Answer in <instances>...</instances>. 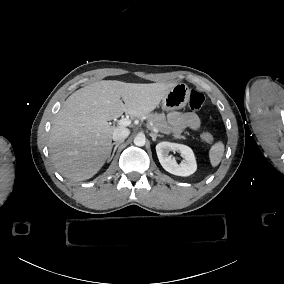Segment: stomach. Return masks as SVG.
Instances as JSON below:
<instances>
[{
  "label": "stomach",
  "instance_id": "stomach-1",
  "mask_svg": "<svg viewBox=\"0 0 284 284\" xmlns=\"http://www.w3.org/2000/svg\"><path fill=\"white\" fill-rule=\"evenodd\" d=\"M190 98V89L185 83H177L162 99L164 111L179 110L186 106Z\"/></svg>",
  "mask_w": 284,
  "mask_h": 284
}]
</instances>
